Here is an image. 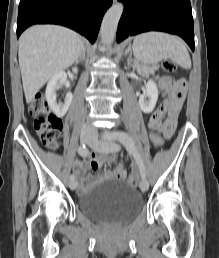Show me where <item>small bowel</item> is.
I'll list each match as a JSON object with an SVG mask.
<instances>
[{"mask_svg": "<svg viewBox=\"0 0 219 258\" xmlns=\"http://www.w3.org/2000/svg\"><path fill=\"white\" fill-rule=\"evenodd\" d=\"M161 85L164 87L163 94H166L165 100L161 104H156L155 112H151V117L167 118H147L149 130H160L165 138H170L177 125V117L182 102L185 97L186 85L182 79H173L170 77L159 78ZM158 131L159 133L161 131ZM118 158L114 155L105 153L92 154L88 159L79 161L76 165L75 173L80 180V191L86 192L89 187V179L85 178L87 170L97 171L103 163L117 162ZM123 165L122 163L120 164ZM125 167H114V171L108 172L107 176H113L114 179H127L128 172Z\"/></svg>", "mask_w": 219, "mask_h": 258, "instance_id": "c3829d8e", "label": "small bowel"}]
</instances>
